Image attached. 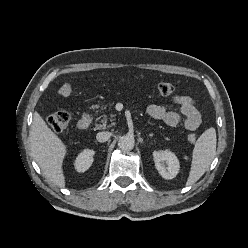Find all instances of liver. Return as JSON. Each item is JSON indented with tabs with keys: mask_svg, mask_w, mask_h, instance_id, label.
Returning a JSON list of instances; mask_svg holds the SVG:
<instances>
[{
	"mask_svg": "<svg viewBox=\"0 0 248 248\" xmlns=\"http://www.w3.org/2000/svg\"><path fill=\"white\" fill-rule=\"evenodd\" d=\"M30 146L32 156L45 177L51 183L64 187L65 177L62 164L67 147L37 112L33 115Z\"/></svg>",
	"mask_w": 248,
	"mask_h": 248,
	"instance_id": "6515ba94",
	"label": "liver"
}]
</instances>
